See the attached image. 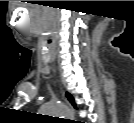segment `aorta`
I'll list each match as a JSON object with an SVG mask.
<instances>
[{
  "label": "aorta",
  "mask_w": 134,
  "mask_h": 123,
  "mask_svg": "<svg viewBox=\"0 0 134 123\" xmlns=\"http://www.w3.org/2000/svg\"><path fill=\"white\" fill-rule=\"evenodd\" d=\"M43 115L63 118L71 114L69 107L61 103H45L41 107Z\"/></svg>",
  "instance_id": "obj_1"
}]
</instances>
